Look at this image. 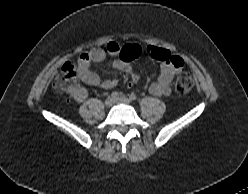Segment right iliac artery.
Wrapping results in <instances>:
<instances>
[{
  "label": "right iliac artery",
  "mask_w": 248,
  "mask_h": 194,
  "mask_svg": "<svg viewBox=\"0 0 248 194\" xmlns=\"http://www.w3.org/2000/svg\"><path fill=\"white\" fill-rule=\"evenodd\" d=\"M111 98H112L113 100L118 99V98H119V93H118V92H113V93L111 94Z\"/></svg>",
  "instance_id": "1"
}]
</instances>
